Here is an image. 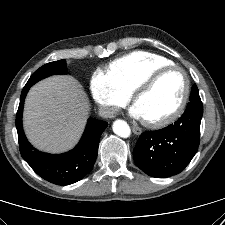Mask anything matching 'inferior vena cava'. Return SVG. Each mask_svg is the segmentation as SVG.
Here are the masks:
<instances>
[{"instance_id": "inferior-vena-cava-1", "label": "inferior vena cava", "mask_w": 225, "mask_h": 225, "mask_svg": "<svg viewBox=\"0 0 225 225\" xmlns=\"http://www.w3.org/2000/svg\"><path fill=\"white\" fill-rule=\"evenodd\" d=\"M117 107H101L100 114L106 118H112L117 113Z\"/></svg>"}]
</instances>
